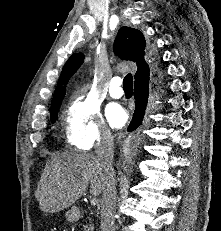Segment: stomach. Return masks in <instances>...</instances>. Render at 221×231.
<instances>
[{
  "label": "stomach",
  "mask_w": 221,
  "mask_h": 231,
  "mask_svg": "<svg viewBox=\"0 0 221 231\" xmlns=\"http://www.w3.org/2000/svg\"><path fill=\"white\" fill-rule=\"evenodd\" d=\"M65 217L69 222H72V221L76 220V218H77L76 209L72 208L71 210H68L65 213Z\"/></svg>",
  "instance_id": "obj_1"
}]
</instances>
